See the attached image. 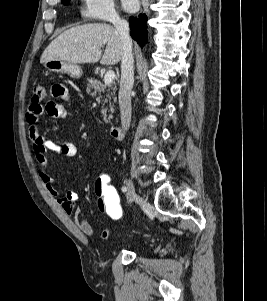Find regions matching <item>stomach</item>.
<instances>
[{"mask_svg":"<svg viewBox=\"0 0 267 301\" xmlns=\"http://www.w3.org/2000/svg\"><path fill=\"white\" fill-rule=\"evenodd\" d=\"M44 66L51 72L64 73L75 79L80 78L83 73L79 65L67 61L50 60L46 61Z\"/></svg>","mask_w":267,"mask_h":301,"instance_id":"0dacf381","label":"stomach"}]
</instances>
